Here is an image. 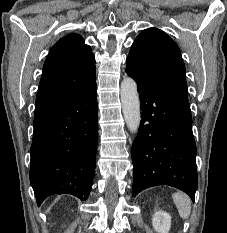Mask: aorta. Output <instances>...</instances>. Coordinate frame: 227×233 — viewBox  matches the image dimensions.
I'll list each match as a JSON object with an SVG mask.
<instances>
[{"label": "aorta", "instance_id": "aorta-1", "mask_svg": "<svg viewBox=\"0 0 227 233\" xmlns=\"http://www.w3.org/2000/svg\"><path fill=\"white\" fill-rule=\"evenodd\" d=\"M121 103L122 111L128 129L132 133H137L140 121V101L137 92L136 82L130 78H124L121 82Z\"/></svg>", "mask_w": 227, "mask_h": 233}]
</instances>
